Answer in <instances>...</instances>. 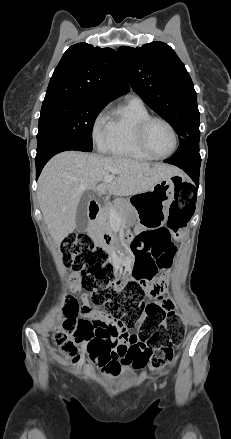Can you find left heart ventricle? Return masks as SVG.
I'll return each instance as SVG.
<instances>
[{"label":"left heart ventricle","instance_id":"left-heart-ventricle-1","mask_svg":"<svg viewBox=\"0 0 231 439\" xmlns=\"http://www.w3.org/2000/svg\"><path fill=\"white\" fill-rule=\"evenodd\" d=\"M147 143L155 154L165 155L173 147V136L164 123L153 122L147 132Z\"/></svg>","mask_w":231,"mask_h":439}]
</instances>
